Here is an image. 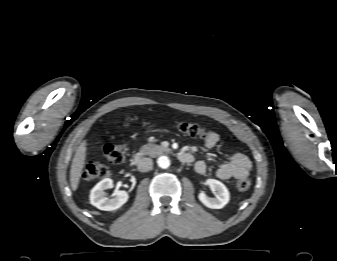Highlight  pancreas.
Here are the masks:
<instances>
[{
  "label": "pancreas",
  "instance_id": "cf45deb5",
  "mask_svg": "<svg viewBox=\"0 0 337 261\" xmlns=\"http://www.w3.org/2000/svg\"><path fill=\"white\" fill-rule=\"evenodd\" d=\"M169 151H170L169 148H164L162 146L154 145V144H146L140 148L141 155H149L151 157H155L157 155H161L164 152H169Z\"/></svg>",
  "mask_w": 337,
  "mask_h": 261
}]
</instances>
